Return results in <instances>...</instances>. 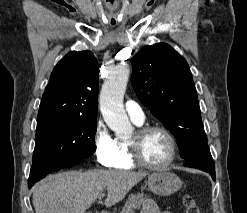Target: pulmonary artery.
<instances>
[{"instance_id": "obj_1", "label": "pulmonary artery", "mask_w": 247, "mask_h": 213, "mask_svg": "<svg viewBox=\"0 0 247 213\" xmlns=\"http://www.w3.org/2000/svg\"><path fill=\"white\" fill-rule=\"evenodd\" d=\"M125 109L130 119L136 124H142L145 120V114L142 108L134 101H127Z\"/></svg>"}]
</instances>
